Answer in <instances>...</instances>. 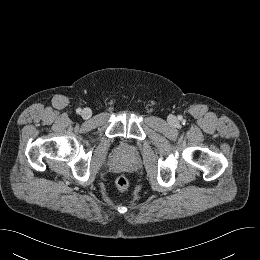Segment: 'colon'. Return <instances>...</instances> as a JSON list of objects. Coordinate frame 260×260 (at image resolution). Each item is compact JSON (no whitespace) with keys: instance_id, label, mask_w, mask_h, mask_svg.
Here are the masks:
<instances>
[{"instance_id":"5ec220e1","label":"colon","mask_w":260,"mask_h":260,"mask_svg":"<svg viewBox=\"0 0 260 260\" xmlns=\"http://www.w3.org/2000/svg\"><path fill=\"white\" fill-rule=\"evenodd\" d=\"M115 185L119 191L123 192L129 188L130 182L126 176L121 175V176L117 177V179L115 181Z\"/></svg>"}]
</instances>
